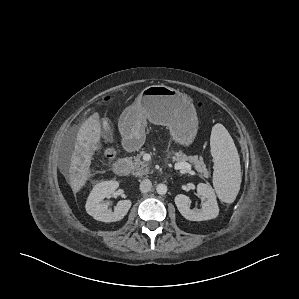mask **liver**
<instances>
[{
  "mask_svg": "<svg viewBox=\"0 0 299 299\" xmlns=\"http://www.w3.org/2000/svg\"><path fill=\"white\" fill-rule=\"evenodd\" d=\"M99 114L90 116L80 127L68 170L69 185L74 193L85 185L90 173L92 156L99 150L101 138Z\"/></svg>",
  "mask_w": 299,
  "mask_h": 299,
  "instance_id": "obj_1",
  "label": "liver"
}]
</instances>
